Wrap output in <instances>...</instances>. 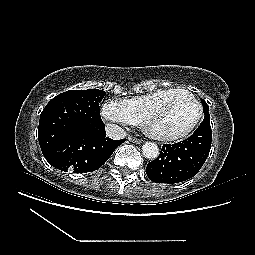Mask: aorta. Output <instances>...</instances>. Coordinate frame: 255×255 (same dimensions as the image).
<instances>
[{
    "mask_svg": "<svg viewBox=\"0 0 255 255\" xmlns=\"http://www.w3.org/2000/svg\"><path fill=\"white\" fill-rule=\"evenodd\" d=\"M143 155L148 159H155L159 155V148L153 142H146L142 147Z\"/></svg>",
    "mask_w": 255,
    "mask_h": 255,
    "instance_id": "aorta-1",
    "label": "aorta"
}]
</instances>
